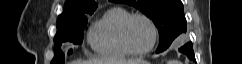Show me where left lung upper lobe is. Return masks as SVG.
I'll return each mask as SVG.
<instances>
[{
    "label": "left lung upper lobe",
    "mask_w": 242,
    "mask_h": 64,
    "mask_svg": "<svg viewBox=\"0 0 242 64\" xmlns=\"http://www.w3.org/2000/svg\"><path fill=\"white\" fill-rule=\"evenodd\" d=\"M132 5L151 18L160 34L156 52L166 50L182 32H186L187 22L181 0H109Z\"/></svg>",
    "instance_id": "obj_1"
}]
</instances>
